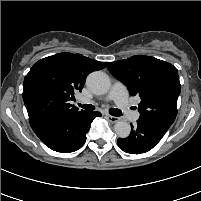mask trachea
Masks as SVG:
<instances>
[{"instance_id": "trachea-1", "label": "trachea", "mask_w": 201, "mask_h": 201, "mask_svg": "<svg viewBox=\"0 0 201 201\" xmlns=\"http://www.w3.org/2000/svg\"><path fill=\"white\" fill-rule=\"evenodd\" d=\"M79 106L87 111H93L95 109V107L91 104H79ZM109 113L112 115V116H121L122 115V112L117 109V108H110L109 109Z\"/></svg>"}]
</instances>
